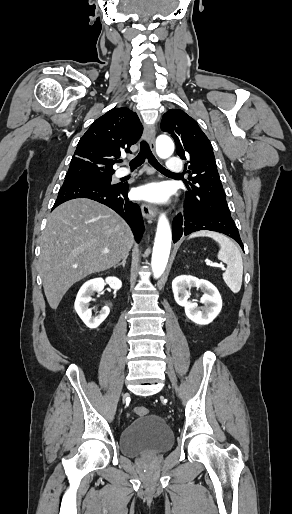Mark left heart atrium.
<instances>
[{
	"mask_svg": "<svg viewBox=\"0 0 292 514\" xmlns=\"http://www.w3.org/2000/svg\"><path fill=\"white\" fill-rule=\"evenodd\" d=\"M138 195L148 200H156L163 198L166 193L160 184H148L138 189Z\"/></svg>",
	"mask_w": 292,
	"mask_h": 514,
	"instance_id": "39dd6f15",
	"label": "left heart atrium"
}]
</instances>
